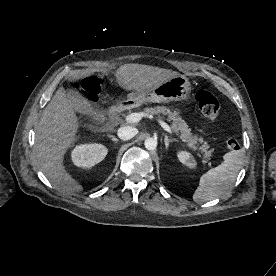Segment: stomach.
I'll return each instance as SVG.
<instances>
[{
	"mask_svg": "<svg viewBox=\"0 0 276 276\" xmlns=\"http://www.w3.org/2000/svg\"><path fill=\"white\" fill-rule=\"evenodd\" d=\"M191 91L192 87L188 78L184 75H177L148 90L128 94L126 102L133 106H140L147 102L182 101L190 97Z\"/></svg>",
	"mask_w": 276,
	"mask_h": 276,
	"instance_id": "1",
	"label": "stomach"
}]
</instances>
